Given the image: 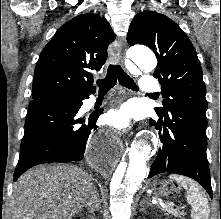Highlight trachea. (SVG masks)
<instances>
[{
	"label": "trachea",
	"mask_w": 221,
	"mask_h": 219,
	"mask_svg": "<svg viewBox=\"0 0 221 219\" xmlns=\"http://www.w3.org/2000/svg\"><path fill=\"white\" fill-rule=\"evenodd\" d=\"M117 80L119 84L128 89L138 90L136 83L124 72L120 65H110L106 77L102 80H97L96 83L99 87V91L107 92L115 86Z\"/></svg>",
	"instance_id": "obj_1"
}]
</instances>
